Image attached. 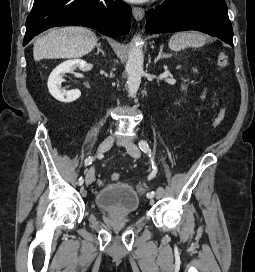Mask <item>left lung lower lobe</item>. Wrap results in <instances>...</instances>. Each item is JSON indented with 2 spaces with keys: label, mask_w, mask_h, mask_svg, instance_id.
Here are the masks:
<instances>
[{
  "label": "left lung lower lobe",
  "mask_w": 255,
  "mask_h": 272,
  "mask_svg": "<svg viewBox=\"0 0 255 272\" xmlns=\"http://www.w3.org/2000/svg\"><path fill=\"white\" fill-rule=\"evenodd\" d=\"M146 31L171 33L197 30L233 46V30L224 0H165L147 14Z\"/></svg>",
  "instance_id": "0a47b994"
}]
</instances>
